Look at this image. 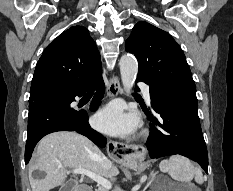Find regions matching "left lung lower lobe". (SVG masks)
Here are the masks:
<instances>
[{"mask_svg": "<svg viewBox=\"0 0 233 191\" xmlns=\"http://www.w3.org/2000/svg\"><path fill=\"white\" fill-rule=\"evenodd\" d=\"M137 81L148 84L142 78H137ZM150 98L152 109L158 114L154 117L146 107H142L152 121L151 134L146 142L150 158L180 154L199 163L208 173L207 147L197 113V99L181 93L151 89Z\"/></svg>", "mask_w": 233, "mask_h": 191, "instance_id": "left-lung-lower-lobe-1", "label": "left lung lower lobe"}]
</instances>
